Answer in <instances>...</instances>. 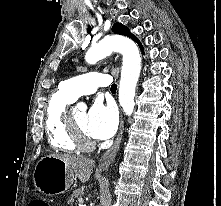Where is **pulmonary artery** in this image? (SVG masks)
Masks as SVG:
<instances>
[{
    "label": "pulmonary artery",
    "instance_id": "e3ab8cb5",
    "mask_svg": "<svg viewBox=\"0 0 221 206\" xmlns=\"http://www.w3.org/2000/svg\"><path fill=\"white\" fill-rule=\"evenodd\" d=\"M113 79L108 74L90 72L61 83L63 90L74 100L84 94H93L99 87L110 86Z\"/></svg>",
    "mask_w": 221,
    "mask_h": 206
}]
</instances>
